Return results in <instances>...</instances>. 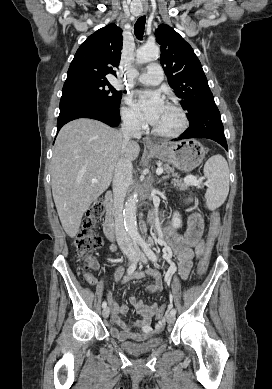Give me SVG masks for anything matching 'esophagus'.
<instances>
[{
	"mask_svg": "<svg viewBox=\"0 0 272 389\" xmlns=\"http://www.w3.org/2000/svg\"><path fill=\"white\" fill-rule=\"evenodd\" d=\"M145 10H146V7L143 8V11H145ZM143 143H144V146L146 148H156L157 147V145L149 138L144 139Z\"/></svg>",
	"mask_w": 272,
	"mask_h": 389,
	"instance_id": "1",
	"label": "esophagus"
}]
</instances>
